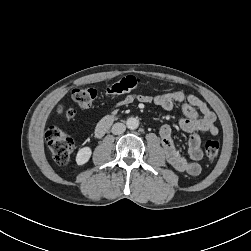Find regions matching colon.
<instances>
[{
	"label": "colon",
	"instance_id": "1",
	"mask_svg": "<svg viewBox=\"0 0 251 251\" xmlns=\"http://www.w3.org/2000/svg\"><path fill=\"white\" fill-rule=\"evenodd\" d=\"M140 80L134 76H127L118 81L109 84L102 91L92 87L76 88L72 91V99L81 108H89L100 96H115L134 91L139 85ZM60 113L65 117L73 116L74 111L71 108H61ZM50 152L57 164L64 165L70 160L74 149V141L70 135L61 130L58 126L48 127L45 134ZM220 150L219 141L210 139L205 144V154L208 160L213 161L217 158Z\"/></svg>",
	"mask_w": 251,
	"mask_h": 251
}]
</instances>
